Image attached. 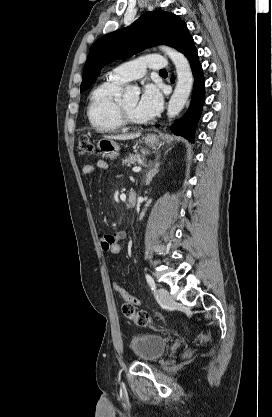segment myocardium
<instances>
[{"label": "myocardium", "mask_w": 272, "mask_h": 417, "mask_svg": "<svg viewBox=\"0 0 272 417\" xmlns=\"http://www.w3.org/2000/svg\"><path fill=\"white\" fill-rule=\"evenodd\" d=\"M118 117L122 126L124 127H138L144 124V121H137L133 119L129 113L124 109L122 103L118 104Z\"/></svg>", "instance_id": "1"}]
</instances>
